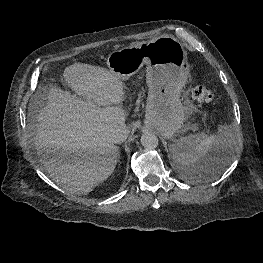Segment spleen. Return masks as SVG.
Instances as JSON below:
<instances>
[{"label": "spleen", "instance_id": "spleen-1", "mask_svg": "<svg viewBox=\"0 0 263 263\" xmlns=\"http://www.w3.org/2000/svg\"><path fill=\"white\" fill-rule=\"evenodd\" d=\"M240 141V135L232 125L220 126L216 134H206L199 132L175 140L171 145L173 160L182 170L190 171L202 157H204L213 147H217L222 152L219 158V170L206 179H216L221 175L231 162V155L236 150ZM187 179L194 181L201 179L192 175H187ZM205 179V178H204Z\"/></svg>", "mask_w": 263, "mask_h": 263}]
</instances>
